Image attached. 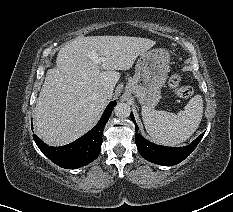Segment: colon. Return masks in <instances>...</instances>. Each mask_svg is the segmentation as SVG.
Here are the masks:
<instances>
[{
  "label": "colon",
  "instance_id": "5ec220e1",
  "mask_svg": "<svg viewBox=\"0 0 233 212\" xmlns=\"http://www.w3.org/2000/svg\"><path fill=\"white\" fill-rule=\"evenodd\" d=\"M169 86L180 98H190L194 94V90L191 87L181 85V76L179 74H174L170 77Z\"/></svg>",
  "mask_w": 233,
  "mask_h": 212
}]
</instances>
